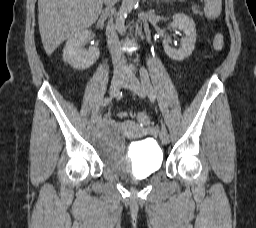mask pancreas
I'll return each instance as SVG.
<instances>
[{
    "label": "pancreas",
    "instance_id": "pancreas-1",
    "mask_svg": "<svg viewBox=\"0 0 256 228\" xmlns=\"http://www.w3.org/2000/svg\"><path fill=\"white\" fill-rule=\"evenodd\" d=\"M165 2H176V1H179V2H185V0H164Z\"/></svg>",
    "mask_w": 256,
    "mask_h": 228
}]
</instances>
